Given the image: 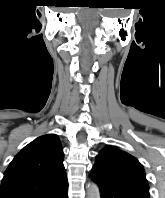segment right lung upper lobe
Wrapping results in <instances>:
<instances>
[{"label": "right lung upper lobe", "instance_id": "obj_1", "mask_svg": "<svg viewBox=\"0 0 165 198\" xmlns=\"http://www.w3.org/2000/svg\"><path fill=\"white\" fill-rule=\"evenodd\" d=\"M67 185L60 140L47 134L14 157L4 174L0 198H58Z\"/></svg>", "mask_w": 165, "mask_h": 198}]
</instances>
